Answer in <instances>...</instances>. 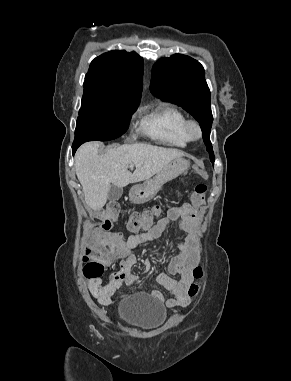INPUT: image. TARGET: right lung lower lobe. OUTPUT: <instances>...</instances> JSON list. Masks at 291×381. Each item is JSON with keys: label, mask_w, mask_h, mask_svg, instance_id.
<instances>
[{"label": "right lung lower lobe", "mask_w": 291, "mask_h": 381, "mask_svg": "<svg viewBox=\"0 0 291 381\" xmlns=\"http://www.w3.org/2000/svg\"><path fill=\"white\" fill-rule=\"evenodd\" d=\"M80 145H78V144H74L73 143V145H72V152H73V155H74V153L76 152V150H77V148L79 147Z\"/></svg>", "instance_id": "1"}]
</instances>
